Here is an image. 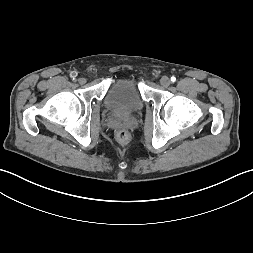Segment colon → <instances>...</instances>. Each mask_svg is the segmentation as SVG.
<instances>
[{
    "label": "colon",
    "mask_w": 253,
    "mask_h": 253,
    "mask_svg": "<svg viewBox=\"0 0 253 253\" xmlns=\"http://www.w3.org/2000/svg\"><path fill=\"white\" fill-rule=\"evenodd\" d=\"M116 137L122 143H127L130 140L129 132L123 129L117 132Z\"/></svg>",
    "instance_id": "5ec220e1"
}]
</instances>
